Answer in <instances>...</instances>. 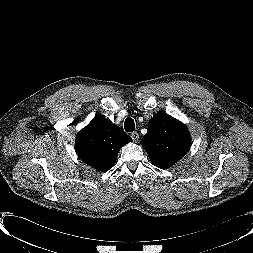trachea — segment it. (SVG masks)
I'll use <instances>...</instances> for the list:
<instances>
[{
  "label": "trachea",
  "mask_w": 253,
  "mask_h": 253,
  "mask_svg": "<svg viewBox=\"0 0 253 253\" xmlns=\"http://www.w3.org/2000/svg\"><path fill=\"white\" fill-rule=\"evenodd\" d=\"M124 129L126 132H133L135 130L134 120L130 117L126 118L124 122Z\"/></svg>",
  "instance_id": "3493384b"
}]
</instances>
